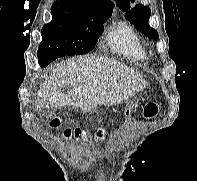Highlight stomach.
Wrapping results in <instances>:
<instances>
[{
  "label": "stomach",
  "mask_w": 197,
  "mask_h": 181,
  "mask_svg": "<svg viewBox=\"0 0 197 181\" xmlns=\"http://www.w3.org/2000/svg\"><path fill=\"white\" fill-rule=\"evenodd\" d=\"M128 104H129V105H132V102L129 101Z\"/></svg>",
  "instance_id": "obj_1"
}]
</instances>
